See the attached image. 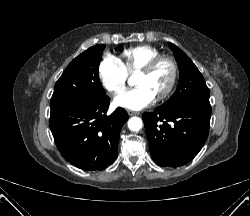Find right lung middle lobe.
I'll use <instances>...</instances> for the list:
<instances>
[{
	"mask_svg": "<svg viewBox=\"0 0 250 216\" xmlns=\"http://www.w3.org/2000/svg\"><path fill=\"white\" fill-rule=\"evenodd\" d=\"M105 45H95L76 57L54 86L51 113L75 102H88L106 96L99 79V63Z\"/></svg>",
	"mask_w": 250,
	"mask_h": 216,
	"instance_id": "right-lung-middle-lobe-1",
	"label": "right lung middle lobe"
}]
</instances>
